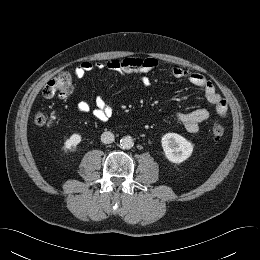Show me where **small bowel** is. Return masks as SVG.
<instances>
[{
  "label": "small bowel",
  "mask_w": 260,
  "mask_h": 260,
  "mask_svg": "<svg viewBox=\"0 0 260 260\" xmlns=\"http://www.w3.org/2000/svg\"><path fill=\"white\" fill-rule=\"evenodd\" d=\"M159 66V62L153 58H135L128 57L124 59H113L106 63L97 62L95 64L90 61L81 62L75 69L74 74L81 79L93 68L97 70L107 69L116 73L136 74L140 77L143 85L149 84V74ZM171 74L177 79H184L192 85L201 88L204 91L206 99L215 106L216 112L220 117L227 114L228 107L226 101L216 91L211 81L201 74L187 71L180 67H172ZM78 111L80 113H88L90 106L86 101L78 103ZM93 116L100 122H106L112 115L113 109L101 97L96 100V106L93 109ZM178 122L190 133H195L199 129V125L209 118V112L204 108H199L188 113H180L176 116Z\"/></svg>",
  "instance_id": "1"
}]
</instances>
